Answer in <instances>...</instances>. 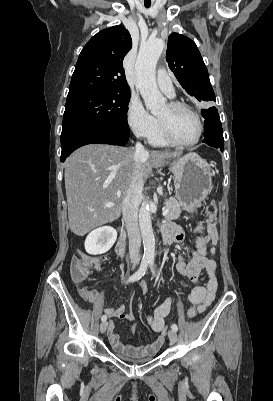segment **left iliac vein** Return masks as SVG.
Listing matches in <instances>:
<instances>
[{
  "label": "left iliac vein",
  "mask_w": 273,
  "mask_h": 401,
  "mask_svg": "<svg viewBox=\"0 0 273 401\" xmlns=\"http://www.w3.org/2000/svg\"><path fill=\"white\" fill-rule=\"evenodd\" d=\"M168 337H169V340H170L172 343H176L177 340H178V335H177V333H176L174 330H170V331H169Z\"/></svg>",
  "instance_id": "1"
}]
</instances>
